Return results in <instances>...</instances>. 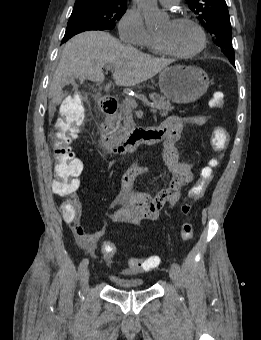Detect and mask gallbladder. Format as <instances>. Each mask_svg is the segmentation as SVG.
Returning a JSON list of instances; mask_svg holds the SVG:
<instances>
[{
	"label": "gallbladder",
	"instance_id": "obj_1",
	"mask_svg": "<svg viewBox=\"0 0 261 340\" xmlns=\"http://www.w3.org/2000/svg\"><path fill=\"white\" fill-rule=\"evenodd\" d=\"M69 83L74 85L75 84V80H70Z\"/></svg>",
	"mask_w": 261,
	"mask_h": 340
}]
</instances>
